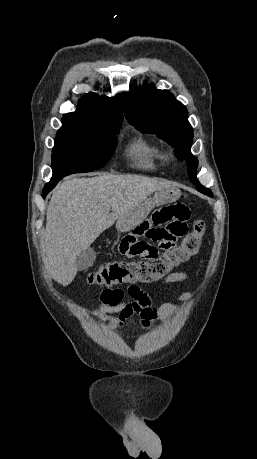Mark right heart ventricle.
I'll list each match as a JSON object with an SVG mask.
<instances>
[{
  "mask_svg": "<svg viewBox=\"0 0 257 459\" xmlns=\"http://www.w3.org/2000/svg\"><path fill=\"white\" fill-rule=\"evenodd\" d=\"M126 154L134 166L143 170H155L165 159L161 148L143 137L133 140Z\"/></svg>",
  "mask_w": 257,
  "mask_h": 459,
  "instance_id": "right-heart-ventricle-1",
  "label": "right heart ventricle"
}]
</instances>
